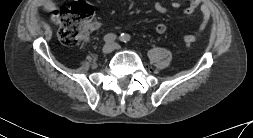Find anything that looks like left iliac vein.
Listing matches in <instances>:
<instances>
[{
    "label": "left iliac vein",
    "instance_id": "obj_1",
    "mask_svg": "<svg viewBox=\"0 0 253 138\" xmlns=\"http://www.w3.org/2000/svg\"><path fill=\"white\" fill-rule=\"evenodd\" d=\"M121 47L118 44H114V49H120Z\"/></svg>",
    "mask_w": 253,
    "mask_h": 138
}]
</instances>
